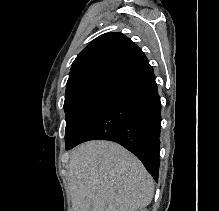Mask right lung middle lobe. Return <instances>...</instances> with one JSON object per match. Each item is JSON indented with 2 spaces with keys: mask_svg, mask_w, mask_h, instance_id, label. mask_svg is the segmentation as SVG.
Returning <instances> with one entry per match:
<instances>
[{
  "mask_svg": "<svg viewBox=\"0 0 219 211\" xmlns=\"http://www.w3.org/2000/svg\"><path fill=\"white\" fill-rule=\"evenodd\" d=\"M113 88L114 86L110 85H99L65 98L66 149H69L75 142L84 126Z\"/></svg>",
  "mask_w": 219,
  "mask_h": 211,
  "instance_id": "dd1d6c3e",
  "label": "right lung middle lobe"
}]
</instances>
